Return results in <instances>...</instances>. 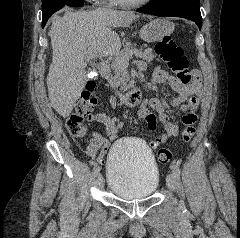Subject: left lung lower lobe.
Returning a JSON list of instances; mask_svg holds the SVG:
<instances>
[{"label": "left lung lower lobe", "mask_w": 240, "mask_h": 238, "mask_svg": "<svg viewBox=\"0 0 240 238\" xmlns=\"http://www.w3.org/2000/svg\"><path fill=\"white\" fill-rule=\"evenodd\" d=\"M138 12L158 17H182L202 26L199 0H159L137 9Z\"/></svg>", "instance_id": "left-lung-lower-lobe-1"}]
</instances>
